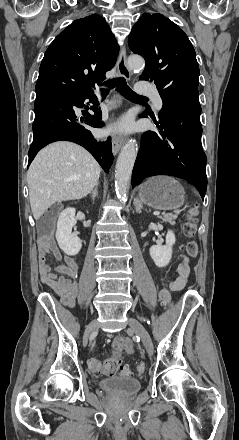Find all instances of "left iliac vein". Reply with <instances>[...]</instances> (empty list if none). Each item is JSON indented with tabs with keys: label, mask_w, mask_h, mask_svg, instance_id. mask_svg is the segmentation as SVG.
Wrapping results in <instances>:
<instances>
[{
	"label": "left iliac vein",
	"mask_w": 239,
	"mask_h": 440,
	"mask_svg": "<svg viewBox=\"0 0 239 440\" xmlns=\"http://www.w3.org/2000/svg\"><path fill=\"white\" fill-rule=\"evenodd\" d=\"M128 324L131 330L141 338L149 356L153 355V343L151 337L144 326L135 318L130 317Z\"/></svg>",
	"instance_id": "obj_1"
}]
</instances>
